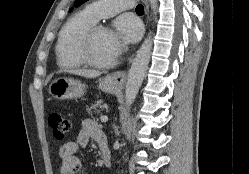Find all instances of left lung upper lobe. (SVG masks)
Wrapping results in <instances>:
<instances>
[{
  "instance_id": "left-lung-upper-lobe-1",
  "label": "left lung upper lobe",
  "mask_w": 249,
  "mask_h": 174,
  "mask_svg": "<svg viewBox=\"0 0 249 174\" xmlns=\"http://www.w3.org/2000/svg\"><path fill=\"white\" fill-rule=\"evenodd\" d=\"M87 0H76L74 3V6L77 7L79 5H81L82 3L86 2Z\"/></svg>"
}]
</instances>
